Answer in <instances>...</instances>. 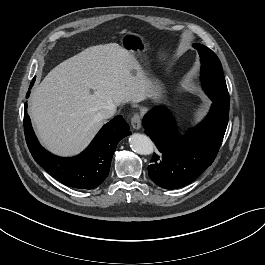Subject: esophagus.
<instances>
[{
  "instance_id": "esophagus-1",
  "label": "esophagus",
  "mask_w": 265,
  "mask_h": 265,
  "mask_svg": "<svg viewBox=\"0 0 265 265\" xmlns=\"http://www.w3.org/2000/svg\"><path fill=\"white\" fill-rule=\"evenodd\" d=\"M131 125L133 129L138 130L141 127V116L139 114H134L131 119Z\"/></svg>"
}]
</instances>
